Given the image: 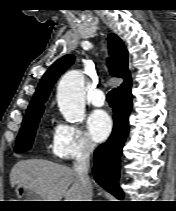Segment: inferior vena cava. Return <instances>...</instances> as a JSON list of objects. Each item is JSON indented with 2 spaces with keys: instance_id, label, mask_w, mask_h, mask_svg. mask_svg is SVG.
Wrapping results in <instances>:
<instances>
[{
  "instance_id": "obj_1",
  "label": "inferior vena cava",
  "mask_w": 176,
  "mask_h": 211,
  "mask_svg": "<svg viewBox=\"0 0 176 211\" xmlns=\"http://www.w3.org/2000/svg\"><path fill=\"white\" fill-rule=\"evenodd\" d=\"M93 151L94 144L90 141H86L73 163V170L86 193L85 199H83L84 201H91L92 198V185L88 176V170L90 154L93 153Z\"/></svg>"
}]
</instances>
